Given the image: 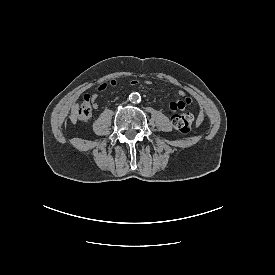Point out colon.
I'll return each instance as SVG.
<instances>
[{"label":"colon","instance_id":"5ec220e1","mask_svg":"<svg viewBox=\"0 0 275 275\" xmlns=\"http://www.w3.org/2000/svg\"><path fill=\"white\" fill-rule=\"evenodd\" d=\"M134 82H137V81H134ZM107 85L114 87L117 85V81L110 80L109 83L106 84V86ZM91 113H92L91 99L89 95H85L81 105L78 107V109L75 112V116L79 120H87L91 117ZM172 122L179 131L183 133H187L192 130L195 119L193 114L184 113V114L174 116L172 118Z\"/></svg>","mask_w":275,"mask_h":275}]
</instances>
